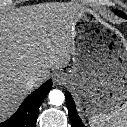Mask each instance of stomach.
<instances>
[{"label": "stomach", "instance_id": "stomach-1", "mask_svg": "<svg viewBox=\"0 0 127 127\" xmlns=\"http://www.w3.org/2000/svg\"><path fill=\"white\" fill-rule=\"evenodd\" d=\"M82 11L78 22L84 17ZM68 85L88 115L117 108L127 99V53L112 50L100 34L80 25Z\"/></svg>", "mask_w": 127, "mask_h": 127}]
</instances>
